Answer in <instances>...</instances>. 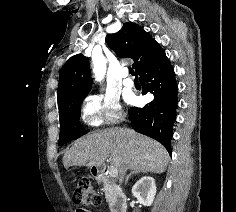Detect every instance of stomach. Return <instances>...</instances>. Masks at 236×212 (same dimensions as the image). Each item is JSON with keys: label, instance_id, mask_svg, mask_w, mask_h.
I'll return each mask as SVG.
<instances>
[{"label": "stomach", "instance_id": "0dacf381", "mask_svg": "<svg viewBox=\"0 0 236 212\" xmlns=\"http://www.w3.org/2000/svg\"><path fill=\"white\" fill-rule=\"evenodd\" d=\"M92 167L90 168V171H91V173L93 174V175H96V173H97V170L96 171H94V172H92Z\"/></svg>", "mask_w": 236, "mask_h": 212}]
</instances>
